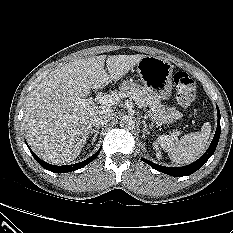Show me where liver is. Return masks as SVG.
<instances>
[{"instance_id":"6515ba94","label":"liver","mask_w":233,"mask_h":233,"mask_svg":"<svg viewBox=\"0 0 233 233\" xmlns=\"http://www.w3.org/2000/svg\"><path fill=\"white\" fill-rule=\"evenodd\" d=\"M145 55L78 59L52 71L30 93L23 126L33 151L52 164L73 161L81 152L95 113L102 107L85 99L90 89H101L124 77ZM82 99L87 103L82 104Z\"/></svg>"}]
</instances>
